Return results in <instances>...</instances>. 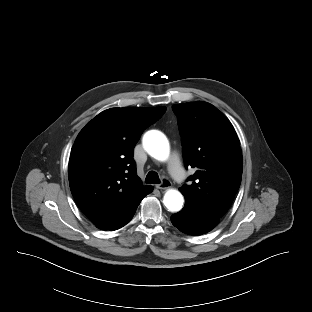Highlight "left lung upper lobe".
<instances>
[{
	"mask_svg": "<svg viewBox=\"0 0 312 312\" xmlns=\"http://www.w3.org/2000/svg\"><path fill=\"white\" fill-rule=\"evenodd\" d=\"M178 117L186 166L196 172L179 190L185 204L221 218L241 183L240 141L228 118L212 104L197 101L172 106Z\"/></svg>",
	"mask_w": 312,
	"mask_h": 312,
	"instance_id": "left-lung-upper-lobe-1",
	"label": "left lung upper lobe"
}]
</instances>
